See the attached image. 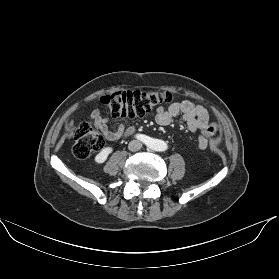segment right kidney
<instances>
[{"label":"right kidney","instance_id":"1","mask_svg":"<svg viewBox=\"0 0 279 279\" xmlns=\"http://www.w3.org/2000/svg\"><path fill=\"white\" fill-rule=\"evenodd\" d=\"M112 147H105L103 148L94 158L96 163H104L110 153H112Z\"/></svg>","mask_w":279,"mask_h":279}]
</instances>
